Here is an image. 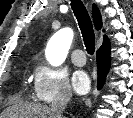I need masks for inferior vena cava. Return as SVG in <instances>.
<instances>
[{
  "label": "inferior vena cava",
  "mask_w": 133,
  "mask_h": 118,
  "mask_svg": "<svg viewBox=\"0 0 133 118\" xmlns=\"http://www.w3.org/2000/svg\"><path fill=\"white\" fill-rule=\"evenodd\" d=\"M71 91L69 89H62L57 94L56 98L51 104V115L53 118H62V113L70 101Z\"/></svg>",
  "instance_id": "obj_1"
}]
</instances>
